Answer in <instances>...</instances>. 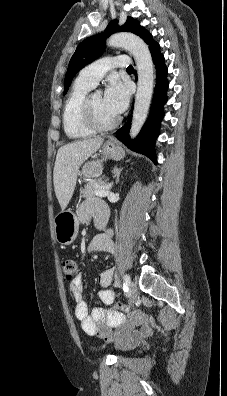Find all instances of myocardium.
Instances as JSON below:
<instances>
[{"mask_svg":"<svg viewBox=\"0 0 227 396\" xmlns=\"http://www.w3.org/2000/svg\"><path fill=\"white\" fill-rule=\"evenodd\" d=\"M91 96L92 95H88L85 97L83 104H82V114H83V119L85 121V123L87 124V126L89 128H91L93 131H98V132H103V131H108L112 128H114L118 122L119 119L117 117H115L114 119H112L109 122H101L92 107L91 104Z\"/></svg>","mask_w":227,"mask_h":396,"instance_id":"myocardium-1","label":"myocardium"}]
</instances>
